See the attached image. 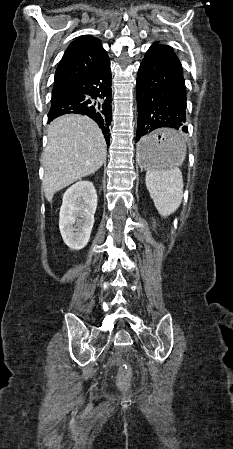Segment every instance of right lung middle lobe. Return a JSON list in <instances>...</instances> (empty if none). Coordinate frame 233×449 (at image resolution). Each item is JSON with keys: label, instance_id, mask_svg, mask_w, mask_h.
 Listing matches in <instances>:
<instances>
[{"label": "right lung middle lobe", "instance_id": "right-lung-middle-lobe-1", "mask_svg": "<svg viewBox=\"0 0 233 449\" xmlns=\"http://www.w3.org/2000/svg\"><path fill=\"white\" fill-rule=\"evenodd\" d=\"M68 95H69V91L67 89L53 90L51 102L60 100Z\"/></svg>", "mask_w": 233, "mask_h": 449}]
</instances>
